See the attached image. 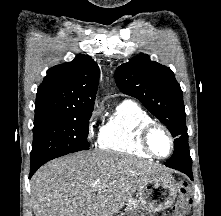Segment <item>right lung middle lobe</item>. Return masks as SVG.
Instances as JSON below:
<instances>
[{
	"label": "right lung middle lobe",
	"mask_w": 221,
	"mask_h": 216,
	"mask_svg": "<svg viewBox=\"0 0 221 216\" xmlns=\"http://www.w3.org/2000/svg\"><path fill=\"white\" fill-rule=\"evenodd\" d=\"M93 110L34 122L31 166L81 150H88L89 119Z\"/></svg>",
	"instance_id": "right-lung-middle-lobe-1"
}]
</instances>
